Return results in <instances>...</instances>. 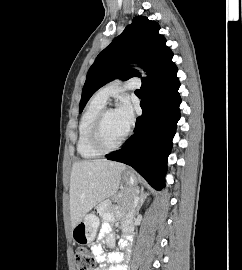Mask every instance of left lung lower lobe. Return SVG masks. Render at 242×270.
I'll use <instances>...</instances> for the list:
<instances>
[{
  "instance_id": "0a47b994",
  "label": "left lung lower lobe",
  "mask_w": 242,
  "mask_h": 270,
  "mask_svg": "<svg viewBox=\"0 0 242 270\" xmlns=\"http://www.w3.org/2000/svg\"><path fill=\"white\" fill-rule=\"evenodd\" d=\"M177 71L171 59L142 80L143 114L137 118L135 133L124 148L105 156L132 166L157 190L165 187L167 158L180 119Z\"/></svg>"
}]
</instances>
